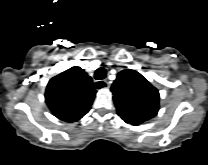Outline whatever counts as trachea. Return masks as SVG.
Masks as SVG:
<instances>
[{"label":"trachea","mask_w":208,"mask_h":165,"mask_svg":"<svg viewBox=\"0 0 208 165\" xmlns=\"http://www.w3.org/2000/svg\"><path fill=\"white\" fill-rule=\"evenodd\" d=\"M106 74H107L106 70H105L103 67H101V68H98V69L95 71L94 77H95V79H97V80H102V79H104V78L106 77ZM102 87H103V86H101V85H99V84H96V88H97V89H100V88H102Z\"/></svg>","instance_id":"trachea-1"}]
</instances>
